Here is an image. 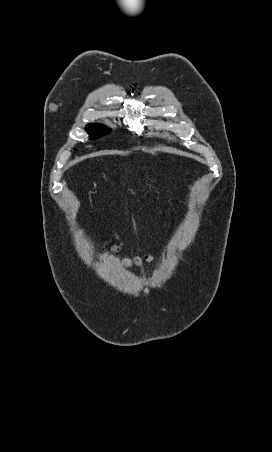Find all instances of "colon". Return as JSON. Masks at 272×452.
Wrapping results in <instances>:
<instances>
[{
    "label": "colon",
    "mask_w": 272,
    "mask_h": 452,
    "mask_svg": "<svg viewBox=\"0 0 272 452\" xmlns=\"http://www.w3.org/2000/svg\"><path fill=\"white\" fill-rule=\"evenodd\" d=\"M117 252H118V249L117 248H113L112 249V253L115 255V254H117ZM133 262L132 261H130V260H128L127 261V264H132Z\"/></svg>",
    "instance_id": "5ec220e1"
}]
</instances>
